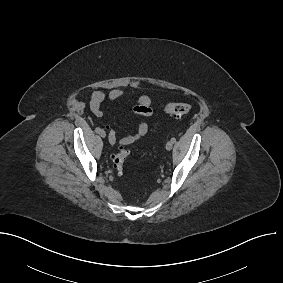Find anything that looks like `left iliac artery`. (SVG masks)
Instances as JSON below:
<instances>
[{
  "label": "left iliac artery",
  "instance_id": "1",
  "mask_svg": "<svg viewBox=\"0 0 283 283\" xmlns=\"http://www.w3.org/2000/svg\"><path fill=\"white\" fill-rule=\"evenodd\" d=\"M171 140L173 141V143H175V142H176V139H175V138H172Z\"/></svg>",
  "mask_w": 283,
  "mask_h": 283
}]
</instances>
